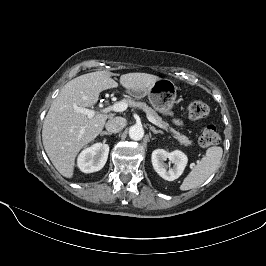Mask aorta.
I'll list each match as a JSON object with an SVG mask.
<instances>
[{
    "label": "aorta",
    "mask_w": 266,
    "mask_h": 266,
    "mask_svg": "<svg viewBox=\"0 0 266 266\" xmlns=\"http://www.w3.org/2000/svg\"><path fill=\"white\" fill-rule=\"evenodd\" d=\"M144 136V129L141 125H133L129 129V137L132 140L139 141Z\"/></svg>",
    "instance_id": "obj_1"
}]
</instances>
